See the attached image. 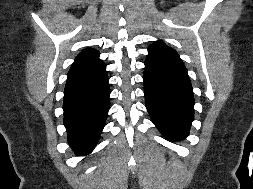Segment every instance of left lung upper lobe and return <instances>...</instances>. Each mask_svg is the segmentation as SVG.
Masks as SVG:
<instances>
[{
	"label": "left lung upper lobe",
	"mask_w": 253,
	"mask_h": 189,
	"mask_svg": "<svg viewBox=\"0 0 253 189\" xmlns=\"http://www.w3.org/2000/svg\"><path fill=\"white\" fill-rule=\"evenodd\" d=\"M145 62L167 64L187 72L178 53L162 41H156L148 47V56Z\"/></svg>",
	"instance_id": "5c2ea615"
}]
</instances>
